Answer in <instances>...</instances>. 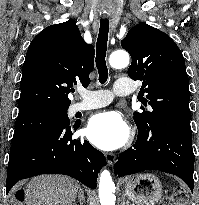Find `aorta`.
Segmentation results:
<instances>
[{
  "label": "aorta",
  "mask_w": 199,
  "mask_h": 205,
  "mask_svg": "<svg viewBox=\"0 0 199 205\" xmlns=\"http://www.w3.org/2000/svg\"><path fill=\"white\" fill-rule=\"evenodd\" d=\"M110 65L113 68H125L129 64V54L124 50L115 51L109 59ZM115 185L112 181L111 174L104 169L100 175L99 181V198L101 205H115V196L113 190Z\"/></svg>",
  "instance_id": "aorta-1"
}]
</instances>
